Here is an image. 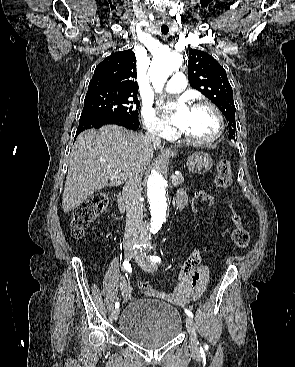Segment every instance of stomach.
Wrapping results in <instances>:
<instances>
[{"instance_id": "obj_1", "label": "stomach", "mask_w": 295, "mask_h": 367, "mask_svg": "<svg viewBox=\"0 0 295 367\" xmlns=\"http://www.w3.org/2000/svg\"><path fill=\"white\" fill-rule=\"evenodd\" d=\"M172 157L176 156L175 153L170 154ZM213 165V160L203 151L194 152L187 160L188 170L195 174H204Z\"/></svg>"}]
</instances>
